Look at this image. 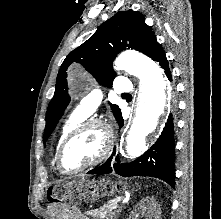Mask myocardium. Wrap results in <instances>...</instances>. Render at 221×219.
<instances>
[{
  "instance_id": "obj_1",
  "label": "myocardium",
  "mask_w": 221,
  "mask_h": 219,
  "mask_svg": "<svg viewBox=\"0 0 221 219\" xmlns=\"http://www.w3.org/2000/svg\"><path fill=\"white\" fill-rule=\"evenodd\" d=\"M91 127L100 128L104 134V145H103L101 152L94 160H92L91 162H89L88 164L82 167H79L77 169L65 168V166L63 165V154H64L66 147L70 144V142L75 137H77L80 133H82L83 131ZM113 143H114V134H113L112 128L110 127L108 123L98 118L87 119L83 121L82 123H80L79 125H77L75 128H73L61 142L56 153V160H55L56 166L58 170L62 174H65V175H74V174L86 171L88 169H91L95 167L96 165H98L99 163H101L109 155V153L111 152L113 148Z\"/></svg>"
}]
</instances>
